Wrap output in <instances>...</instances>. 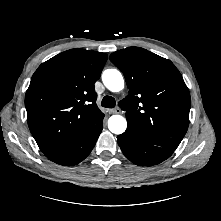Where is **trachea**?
I'll return each mask as SVG.
<instances>
[{
  "instance_id": "obj_1",
  "label": "trachea",
  "mask_w": 221,
  "mask_h": 221,
  "mask_svg": "<svg viewBox=\"0 0 221 221\" xmlns=\"http://www.w3.org/2000/svg\"><path fill=\"white\" fill-rule=\"evenodd\" d=\"M101 105L105 108H114L116 105L115 99L111 96H105L102 99Z\"/></svg>"
}]
</instances>
